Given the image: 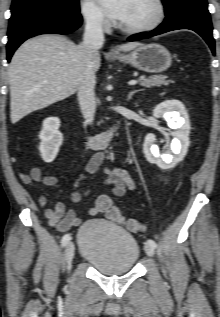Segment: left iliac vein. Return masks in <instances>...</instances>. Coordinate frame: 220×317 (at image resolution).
Returning <instances> with one entry per match:
<instances>
[{
    "label": "left iliac vein",
    "mask_w": 220,
    "mask_h": 317,
    "mask_svg": "<svg viewBox=\"0 0 220 317\" xmlns=\"http://www.w3.org/2000/svg\"><path fill=\"white\" fill-rule=\"evenodd\" d=\"M144 250L148 256H154V254H155L154 248L151 245H149L148 243H145Z\"/></svg>",
    "instance_id": "1"
}]
</instances>
